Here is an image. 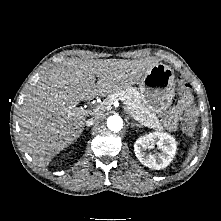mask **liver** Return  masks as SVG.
I'll use <instances>...</instances> for the list:
<instances>
[{"instance_id": "6515ba94", "label": "liver", "mask_w": 221, "mask_h": 221, "mask_svg": "<svg viewBox=\"0 0 221 221\" xmlns=\"http://www.w3.org/2000/svg\"><path fill=\"white\" fill-rule=\"evenodd\" d=\"M156 64L147 59L72 58L45 72L20 110L21 141L34 162L46 167L80 137L88 114L78 107L80 101L129 88Z\"/></svg>"}]
</instances>
